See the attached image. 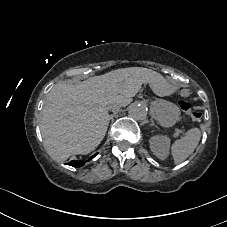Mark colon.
Returning a JSON list of instances; mask_svg holds the SVG:
<instances>
[{
	"label": "colon",
	"mask_w": 227,
	"mask_h": 227,
	"mask_svg": "<svg viewBox=\"0 0 227 227\" xmlns=\"http://www.w3.org/2000/svg\"><path fill=\"white\" fill-rule=\"evenodd\" d=\"M179 107L191 120L200 121L202 119V112L198 109H192L190 102L186 100L180 101Z\"/></svg>",
	"instance_id": "1"
}]
</instances>
